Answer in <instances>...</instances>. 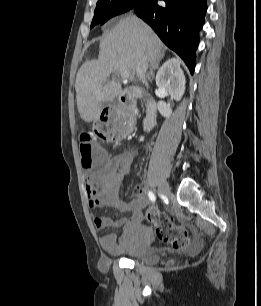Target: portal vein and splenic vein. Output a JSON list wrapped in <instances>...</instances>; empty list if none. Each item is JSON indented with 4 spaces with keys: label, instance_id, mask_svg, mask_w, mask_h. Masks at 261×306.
<instances>
[{
    "label": "portal vein and splenic vein",
    "instance_id": "1",
    "mask_svg": "<svg viewBox=\"0 0 261 306\" xmlns=\"http://www.w3.org/2000/svg\"><path fill=\"white\" fill-rule=\"evenodd\" d=\"M120 75H121L122 79H124L126 81H127V79L130 78V72L127 71V70L123 71Z\"/></svg>",
    "mask_w": 261,
    "mask_h": 306
}]
</instances>
